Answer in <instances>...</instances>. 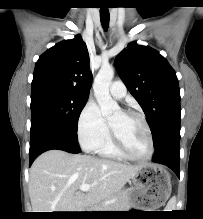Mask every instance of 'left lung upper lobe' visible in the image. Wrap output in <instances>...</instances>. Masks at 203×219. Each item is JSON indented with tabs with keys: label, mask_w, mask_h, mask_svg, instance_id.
Wrapping results in <instances>:
<instances>
[{
	"label": "left lung upper lobe",
	"mask_w": 203,
	"mask_h": 219,
	"mask_svg": "<svg viewBox=\"0 0 203 219\" xmlns=\"http://www.w3.org/2000/svg\"><path fill=\"white\" fill-rule=\"evenodd\" d=\"M121 79L142 107L157 148L180 131V89L176 73L154 49L130 43L115 59Z\"/></svg>",
	"instance_id": "obj_1"
}]
</instances>
